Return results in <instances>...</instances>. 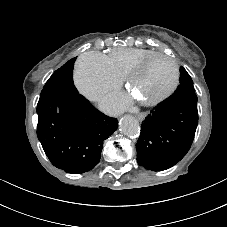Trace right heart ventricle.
<instances>
[{"mask_svg":"<svg viewBox=\"0 0 227 227\" xmlns=\"http://www.w3.org/2000/svg\"><path fill=\"white\" fill-rule=\"evenodd\" d=\"M155 52L153 49L119 47L110 51L107 58L112 69L125 78L140 60Z\"/></svg>","mask_w":227,"mask_h":227,"instance_id":"obj_1","label":"right heart ventricle"}]
</instances>
